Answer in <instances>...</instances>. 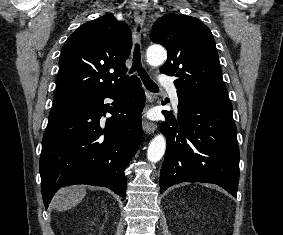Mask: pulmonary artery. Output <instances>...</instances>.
I'll return each mask as SVG.
<instances>
[{
  "label": "pulmonary artery",
  "mask_w": 283,
  "mask_h": 235,
  "mask_svg": "<svg viewBox=\"0 0 283 235\" xmlns=\"http://www.w3.org/2000/svg\"><path fill=\"white\" fill-rule=\"evenodd\" d=\"M161 83L170 90L172 102L175 106H177L179 103V100L176 94V87L174 83L169 78L164 77V76L161 77Z\"/></svg>",
  "instance_id": "obj_1"
}]
</instances>
